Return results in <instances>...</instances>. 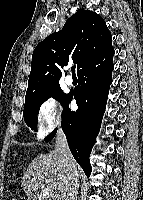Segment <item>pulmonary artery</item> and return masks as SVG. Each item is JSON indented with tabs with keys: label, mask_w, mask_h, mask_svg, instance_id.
<instances>
[{
	"label": "pulmonary artery",
	"mask_w": 143,
	"mask_h": 200,
	"mask_svg": "<svg viewBox=\"0 0 143 200\" xmlns=\"http://www.w3.org/2000/svg\"><path fill=\"white\" fill-rule=\"evenodd\" d=\"M65 83L67 84V85H71L72 83H73V79H72V77L71 76H66L65 77Z\"/></svg>",
	"instance_id": "pulmonary-artery-1"
}]
</instances>
